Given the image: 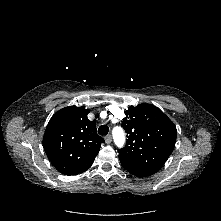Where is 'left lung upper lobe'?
Masks as SVG:
<instances>
[{"instance_id":"obj_1","label":"left lung upper lobe","mask_w":221,"mask_h":221,"mask_svg":"<svg viewBox=\"0 0 221 221\" xmlns=\"http://www.w3.org/2000/svg\"><path fill=\"white\" fill-rule=\"evenodd\" d=\"M125 113L122 127L128 140L126 146L118 150L122 166L162 168L176 141L173 122L152 104L130 106Z\"/></svg>"}]
</instances>
